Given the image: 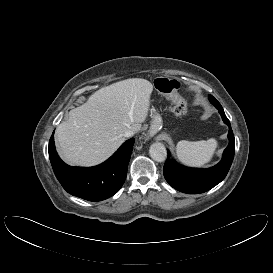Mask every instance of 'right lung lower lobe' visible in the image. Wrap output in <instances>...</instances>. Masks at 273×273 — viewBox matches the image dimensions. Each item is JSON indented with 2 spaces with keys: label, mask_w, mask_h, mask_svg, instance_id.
Segmentation results:
<instances>
[{
  "label": "right lung lower lobe",
  "mask_w": 273,
  "mask_h": 273,
  "mask_svg": "<svg viewBox=\"0 0 273 273\" xmlns=\"http://www.w3.org/2000/svg\"><path fill=\"white\" fill-rule=\"evenodd\" d=\"M134 141V138L127 140L100 165L88 168L71 167L59 158L52 134L49 158L55 176L68 193L89 201H101L113 196L122 187Z\"/></svg>",
  "instance_id": "obj_1"
}]
</instances>
